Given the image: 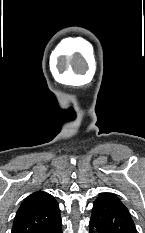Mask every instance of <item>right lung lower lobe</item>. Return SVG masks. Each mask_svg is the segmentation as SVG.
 I'll return each mask as SVG.
<instances>
[{
	"mask_svg": "<svg viewBox=\"0 0 145 233\" xmlns=\"http://www.w3.org/2000/svg\"><path fill=\"white\" fill-rule=\"evenodd\" d=\"M46 233H62V221L61 219L52 226Z\"/></svg>",
	"mask_w": 145,
	"mask_h": 233,
	"instance_id": "1",
	"label": "right lung lower lobe"
}]
</instances>
